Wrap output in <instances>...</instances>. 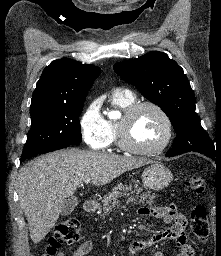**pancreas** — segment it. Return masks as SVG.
Returning <instances> with one entry per match:
<instances>
[{"instance_id":"obj_1","label":"pancreas","mask_w":221,"mask_h":256,"mask_svg":"<svg viewBox=\"0 0 221 256\" xmlns=\"http://www.w3.org/2000/svg\"><path fill=\"white\" fill-rule=\"evenodd\" d=\"M125 197L127 198V203L134 204H149L152 205L154 203V196L151 195L150 191H146L142 193L141 189H134L132 186H123L122 184L114 187L112 192L105 195L102 208H99V212L103 211V215L107 214L109 211H112L113 207L118 205L119 198Z\"/></svg>"}]
</instances>
